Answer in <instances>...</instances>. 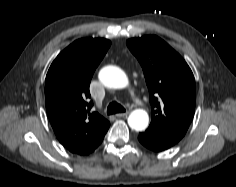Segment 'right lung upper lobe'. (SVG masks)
I'll list each match as a JSON object with an SVG mask.
<instances>
[{
    "label": "right lung upper lobe",
    "mask_w": 236,
    "mask_h": 187,
    "mask_svg": "<svg viewBox=\"0 0 236 187\" xmlns=\"http://www.w3.org/2000/svg\"><path fill=\"white\" fill-rule=\"evenodd\" d=\"M111 42L102 38L76 40L51 64L45 82L46 111L60 143L70 152L88 155L102 142L110 123L90 112L89 85Z\"/></svg>",
    "instance_id": "obj_1"
}]
</instances>
